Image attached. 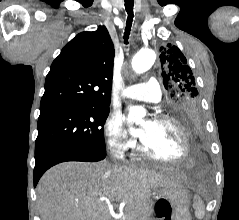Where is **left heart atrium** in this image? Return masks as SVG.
<instances>
[{
  "mask_svg": "<svg viewBox=\"0 0 239 220\" xmlns=\"http://www.w3.org/2000/svg\"><path fill=\"white\" fill-rule=\"evenodd\" d=\"M132 134L138 138H140L141 140H143L145 138V130L143 128H138V129H133L132 130Z\"/></svg>",
  "mask_w": 239,
  "mask_h": 220,
  "instance_id": "obj_1",
  "label": "left heart atrium"
}]
</instances>
